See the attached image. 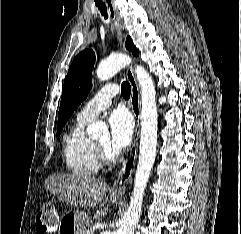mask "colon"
<instances>
[{"instance_id":"obj_1","label":"colon","mask_w":241,"mask_h":234,"mask_svg":"<svg viewBox=\"0 0 241 234\" xmlns=\"http://www.w3.org/2000/svg\"><path fill=\"white\" fill-rule=\"evenodd\" d=\"M59 218L52 205L46 204L36 218V230L39 234H51L58 229Z\"/></svg>"}]
</instances>
